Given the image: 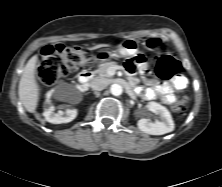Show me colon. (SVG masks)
I'll return each mask as SVG.
<instances>
[{
    "mask_svg": "<svg viewBox=\"0 0 222 187\" xmlns=\"http://www.w3.org/2000/svg\"><path fill=\"white\" fill-rule=\"evenodd\" d=\"M87 55L81 49L66 47L63 45H52L44 49L38 66V78L45 86H52L56 81L71 73L82 70L86 64ZM141 68H145L148 62L145 58L137 60ZM155 74L163 80L177 76L181 70V64L169 55H163L156 60ZM189 98L181 96L174 104V110L185 113Z\"/></svg>",
    "mask_w": 222,
    "mask_h": 187,
    "instance_id": "1",
    "label": "colon"
}]
</instances>
